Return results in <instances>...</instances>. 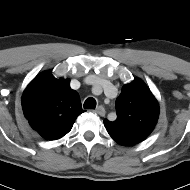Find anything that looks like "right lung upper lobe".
I'll use <instances>...</instances> for the list:
<instances>
[{"label":"right lung upper lobe","instance_id":"right-lung-upper-lobe-1","mask_svg":"<svg viewBox=\"0 0 190 190\" xmlns=\"http://www.w3.org/2000/svg\"><path fill=\"white\" fill-rule=\"evenodd\" d=\"M22 108L30 126L47 140L66 135L84 112L70 80L55 78L51 71L36 76L22 97Z\"/></svg>","mask_w":190,"mask_h":190}]
</instances>
